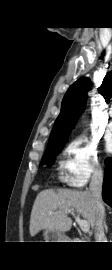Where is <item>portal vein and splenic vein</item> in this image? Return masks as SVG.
Segmentation results:
<instances>
[{
	"instance_id": "portal-vein-and-splenic-vein-1",
	"label": "portal vein and splenic vein",
	"mask_w": 112,
	"mask_h": 270,
	"mask_svg": "<svg viewBox=\"0 0 112 270\" xmlns=\"http://www.w3.org/2000/svg\"><path fill=\"white\" fill-rule=\"evenodd\" d=\"M67 213L71 214V215L75 218V220L77 221V223H78L80 229H81L83 232H85V233L89 232V230H90V225H89V223H88L87 220H85V219H84V220L80 219L79 216H76L71 210L67 211Z\"/></svg>"
}]
</instances>
